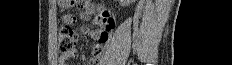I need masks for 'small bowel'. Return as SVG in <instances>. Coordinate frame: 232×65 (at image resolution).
<instances>
[{
  "mask_svg": "<svg viewBox=\"0 0 232 65\" xmlns=\"http://www.w3.org/2000/svg\"><path fill=\"white\" fill-rule=\"evenodd\" d=\"M93 13L95 14V23L98 25L99 30L94 33V38L97 40V44L94 46L92 55L93 58L89 61L88 65H97L98 59L102 53L101 44L105 43L108 39L109 32L114 27V21L110 17L107 11H105L102 7H97L94 9ZM76 55L75 50H71L69 52L63 53L58 58L59 65H67V62L74 58Z\"/></svg>",
  "mask_w": 232,
  "mask_h": 65,
  "instance_id": "c3829d8e",
  "label": "small bowel"
}]
</instances>
